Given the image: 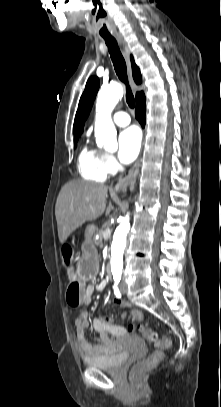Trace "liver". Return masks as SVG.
I'll list each match as a JSON object with an SVG mask.
<instances>
[{
    "instance_id": "obj_1",
    "label": "liver",
    "mask_w": 221,
    "mask_h": 407,
    "mask_svg": "<svg viewBox=\"0 0 221 407\" xmlns=\"http://www.w3.org/2000/svg\"><path fill=\"white\" fill-rule=\"evenodd\" d=\"M108 187L86 181H71L65 184L56 201L55 216L58 225V237L64 243L69 235L86 221H92L111 206L106 207ZM115 194L112 193L111 197Z\"/></svg>"
}]
</instances>
